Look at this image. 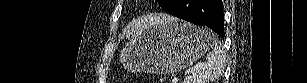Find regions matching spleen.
I'll return each mask as SVG.
<instances>
[{
  "label": "spleen",
  "instance_id": "3e777b00",
  "mask_svg": "<svg viewBox=\"0 0 307 83\" xmlns=\"http://www.w3.org/2000/svg\"><path fill=\"white\" fill-rule=\"evenodd\" d=\"M212 50L207 53L206 62L195 67L184 83H210L219 78L226 66V54L217 36L206 29Z\"/></svg>",
  "mask_w": 307,
  "mask_h": 83
}]
</instances>
